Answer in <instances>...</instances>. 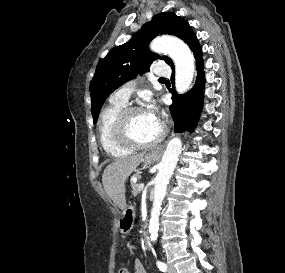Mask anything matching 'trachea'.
I'll return each instance as SVG.
<instances>
[{
  "mask_svg": "<svg viewBox=\"0 0 285 273\" xmlns=\"http://www.w3.org/2000/svg\"><path fill=\"white\" fill-rule=\"evenodd\" d=\"M159 80H160V81H165V79H163V78H160Z\"/></svg>",
  "mask_w": 285,
  "mask_h": 273,
  "instance_id": "3493384b",
  "label": "trachea"
}]
</instances>
